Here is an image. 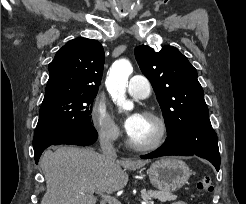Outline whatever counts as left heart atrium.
<instances>
[{"label":"left heart atrium","instance_id":"1","mask_svg":"<svg viewBox=\"0 0 246 204\" xmlns=\"http://www.w3.org/2000/svg\"><path fill=\"white\" fill-rule=\"evenodd\" d=\"M142 115L139 113H133L129 115L124 122V128L128 135L132 134L140 123Z\"/></svg>","mask_w":246,"mask_h":204}]
</instances>
